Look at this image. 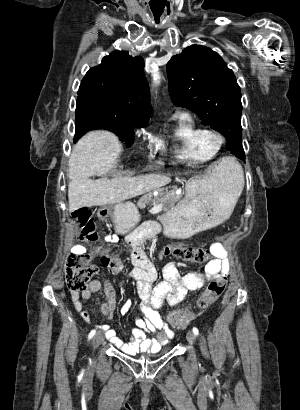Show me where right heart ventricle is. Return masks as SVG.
<instances>
[{
    "mask_svg": "<svg viewBox=\"0 0 300 410\" xmlns=\"http://www.w3.org/2000/svg\"><path fill=\"white\" fill-rule=\"evenodd\" d=\"M209 130L198 125L191 116H179L173 130L175 142L174 155L180 161L197 163L209 161L217 153V149L208 142Z\"/></svg>",
    "mask_w": 300,
    "mask_h": 410,
    "instance_id": "right-heart-ventricle-1",
    "label": "right heart ventricle"
}]
</instances>
